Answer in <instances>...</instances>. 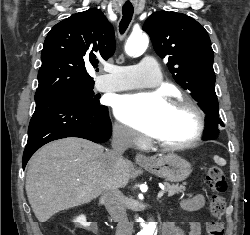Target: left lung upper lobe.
I'll list each match as a JSON object with an SVG mask.
<instances>
[{
  "mask_svg": "<svg viewBox=\"0 0 250 235\" xmlns=\"http://www.w3.org/2000/svg\"><path fill=\"white\" fill-rule=\"evenodd\" d=\"M143 30L151 38L156 53L168 59L167 66L176 82L188 90L208 115L217 117L214 53L204 27L193 18L177 12H154Z\"/></svg>",
  "mask_w": 250,
  "mask_h": 235,
  "instance_id": "1",
  "label": "left lung upper lobe"
}]
</instances>
